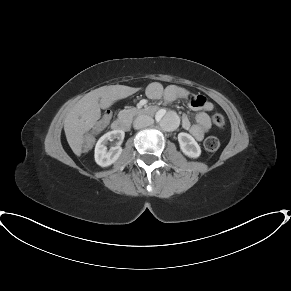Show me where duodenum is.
<instances>
[{
	"instance_id": "duodenum-1",
	"label": "duodenum",
	"mask_w": 291,
	"mask_h": 291,
	"mask_svg": "<svg viewBox=\"0 0 291 291\" xmlns=\"http://www.w3.org/2000/svg\"><path fill=\"white\" fill-rule=\"evenodd\" d=\"M140 113L146 116H154L157 113V108L147 106L140 110ZM128 129V120L126 117H120L113 122V130L115 132H124Z\"/></svg>"
}]
</instances>
